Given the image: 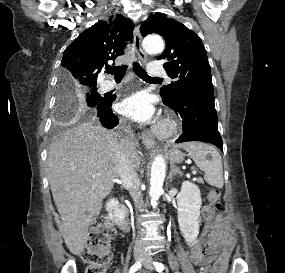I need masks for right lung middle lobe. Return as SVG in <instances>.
Returning a JSON list of instances; mask_svg holds the SVG:
<instances>
[{
    "label": "right lung middle lobe",
    "instance_id": "dd1d6c3e",
    "mask_svg": "<svg viewBox=\"0 0 285 273\" xmlns=\"http://www.w3.org/2000/svg\"><path fill=\"white\" fill-rule=\"evenodd\" d=\"M104 97L96 85H79L61 74L57 92L58 122L97 117V106Z\"/></svg>",
    "mask_w": 285,
    "mask_h": 273
}]
</instances>
